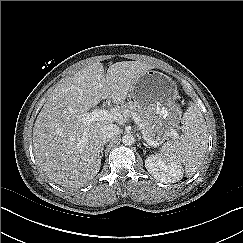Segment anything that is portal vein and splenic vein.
Returning <instances> with one entry per match:
<instances>
[{
    "instance_id": "portal-vein-and-splenic-vein-1",
    "label": "portal vein and splenic vein",
    "mask_w": 243,
    "mask_h": 243,
    "mask_svg": "<svg viewBox=\"0 0 243 243\" xmlns=\"http://www.w3.org/2000/svg\"><path fill=\"white\" fill-rule=\"evenodd\" d=\"M133 120L138 124L139 129L141 130L144 140L151 146H155L156 143L155 141L151 140L150 138L146 137V134L143 131V126L142 124L139 123V119L135 116L132 117ZM108 119H114V120H119L121 119V115L116 112H110L104 109H94L90 113H84L82 114V121L84 125L90 124L92 121H99V120H108ZM177 133H171V136H175Z\"/></svg>"
}]
</instances>
